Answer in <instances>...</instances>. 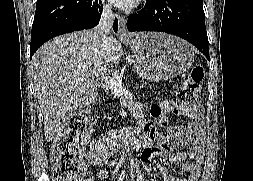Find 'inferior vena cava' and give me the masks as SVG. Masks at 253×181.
<instances>
[{"instance_id":"602c4592","label":"inferior vena cava","mask_w":253,"mask_h":181,"mask_svg":"<svg viewBox=\"0 0 253 181\" xmlns=\"http://www.w3.org/2000/svg\"><path fill=\"white\" fill-rule=\"evenodd\" d=\"M113 22H114V15L112 12L111 5H104L100 22L98 26L95 28V32L100 36L103 44L108 50L111 48V39L108 36V34L112 28Z\"/></svg>"}]
</instances>
